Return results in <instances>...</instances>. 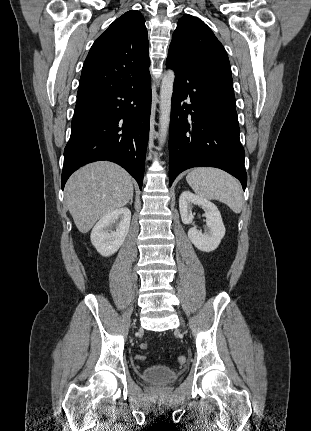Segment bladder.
<instances>
[{"mask_svg":"<svg viewBox=\"0 0 311 431\" xmlns=\"http://www.w3.org/2000/svg\"><path fill=\"white\" fill-rule=\"evenodd\" d=\"M144 382L152 385H168L174 383L178 373L165 365H151L141 373Z\"/></svg>","mask_w":311,"mask_h":431,"instance_id":"31cf9c89","label":"bladder"}]
</instances>
